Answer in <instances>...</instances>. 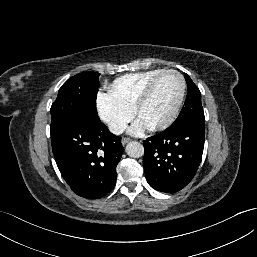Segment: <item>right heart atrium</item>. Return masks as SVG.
<instances>
[{
	"mask_svg": "<svg viewBox=\"0 0 257 257\" xmlns=\"http://www.w3.org/2000/svg\"><path fill=\"white\" fill-rule=\"evenodd\" d=\"M98 113L108 130L121 134L132 120L134 112L109 98L108 94H99L97 99Z\"/></svg>",
	"mask_w": 257,
	"mask_h": 257,
	"instance_id": "right-heart-atrium-1",
	"label": "right heart atrium"
}]
</instances>
